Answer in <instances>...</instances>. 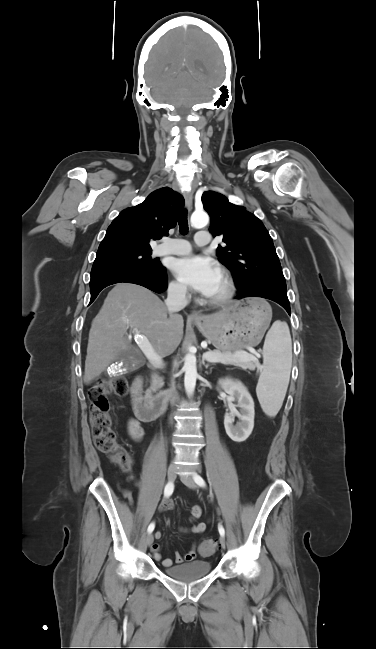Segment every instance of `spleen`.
I'll list each match as a JSON object with an SVG mask.
<instances>
[{"label": "spleen", "mask_w": 376, "mask_h": 649, "mask_svg": "<svg viewBox=\"0 0 376 649\" xmlns=\"http://www.w3.org/2000/svg\"><path fill=\"white\" fill-rule=\"evenodd\" d=\"M263 356L256 393L263 411L274 417L286 395L292 365V342L285 323L272 325L264 342Z\"/></svg>", "instance_id": "obj_1"}]
</instances>
